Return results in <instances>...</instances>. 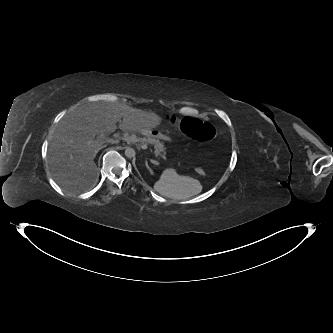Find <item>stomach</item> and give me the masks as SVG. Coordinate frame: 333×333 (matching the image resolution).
<instances>
[{
    "label": "stomach",
    "instance_id": "1",
    "mask_svg": "<svg viewBox=\"0 0 333 333\" xmlns=\"http://www.w3.org/2000/svg\"><path fill=\"white\" fill-rule=\"evenodd\" d=\"M152 131H149V134L152 136V137H157V138H162V139H165V136L162 134V133H160V132H155V134L153 133H151Z\"/></svg>",
    "mask_w": 333,
    "mask_h": 333
}]
</instances>
